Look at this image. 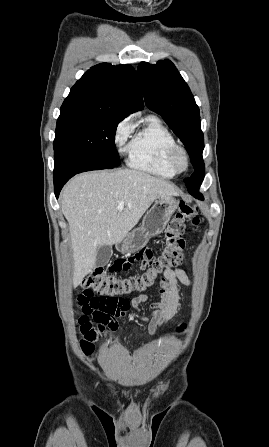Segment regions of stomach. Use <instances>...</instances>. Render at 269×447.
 I'll return each mask as SVG.
<instances>
[{
	"label": "stomach",
	"instance_id": "1",
	"mask_svg": "<svg viewBox=\"0 0 269 447\" xmlns=\"http://www.w3.org/2000/svg\"><path fill=\"white\" fill-rule=\"evenodd\" d=\"M178 204V200H175L172 196H161V198H158L151 210L144 216L140 227L132 229L130 233H127L123 241L116 243L118 251H122V253L138 251V249H141L148 243L150 237L162 233L172 214L177 210Z\"/></svg>",
	"mask_w": 269,
	"mask_h": 447
}]
</instances>
